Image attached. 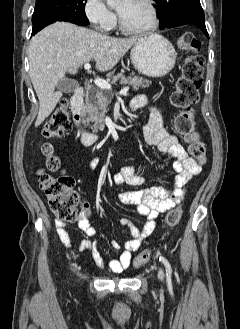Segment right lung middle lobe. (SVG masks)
Returning <instances> with one entry per match:
<instances>
[{"label": "right lung middle lobe", "mask_w": 240, "mask_h": 329, "mask_svg": "<svg viewBox=\"0 0 240 329\" xmlns=\"http://www.w3.org/2000/svg\"><path fill=\"white\" fill-rule=\"evenodd\" d=\"M87 0H37L32 16V23L44 19H57L59 21L78 22L88 25L85 14Z\"/></svg>", "instance_id": "dd1d6c3e"}]
</instances>
